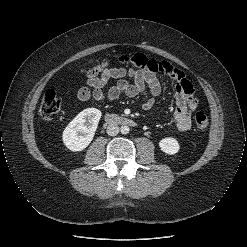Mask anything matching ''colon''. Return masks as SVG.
I'll use <instances>...</instances> for the list:
<instances>
[{
    "instance_id": "colon-1",
    "label": "colon",
    "mask_w": 247,
    "mask_h": 247,
    "mask_svg": "<svg viewBox=\"0 0 247 247\" xmlns=\"http://www.w3.org/2000/svg\"><path fill=\"white\" fill-rule=\"evenodd\" d=\"M109 66H110V60L104 59L103 61H100L89 67L86 70V73L90 76H94L98 73H102L104 70L108 69ZM60 108H61V100L53 90H48L44 94L40 105V110H39L40 115L43 118H48L59 112ZM194 120H195V125L198 129H205L209 124L208 117L203 112H197L195 114Z\"/></svg>"
}]
</instances>
